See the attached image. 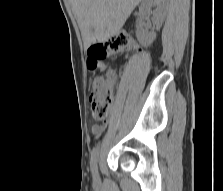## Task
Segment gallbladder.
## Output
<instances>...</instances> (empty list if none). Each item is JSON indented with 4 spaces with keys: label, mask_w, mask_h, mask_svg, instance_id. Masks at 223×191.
Here are the masks:
<instances>
[{
    "label": "gallbladder",
    "mask_w": 223,
    "mask_h": 191,
    "mask_svg": "<svg viewBox=\"0 0 223 191\" xmlns=\"http://www.w3.org/2000/svg\"><path fill=\"white\" fill-rule=\"evenodd\" d=\"M91 31L93 32V31H94V29L92 28V29H91Z\"/></svg>",
    "instance_id": "obj_1"
}]
</instances>
